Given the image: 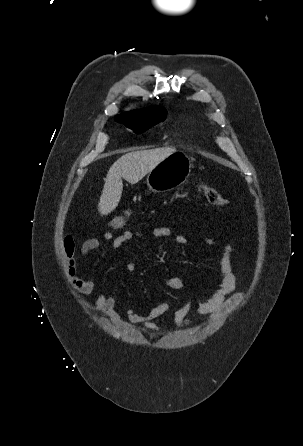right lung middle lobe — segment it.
<instances>
[{
  "instance_id": "right-lung-middle-lobe-1",
  "label": "right lung middle lobe",
  "mask_w": 303,
  "mask_h": 446,
  "mask_svg": "<svg viewBox=\"0 0 303 446\" xmlns=\"http://www.w3.org/2000/svg\"><path fill=\"white\" fill-rule=\"evenodd\" d=\"M166 110L158 109L152 113L139 116H116V121L132 129L135 133H142L151 126L158 124L166 118Z\"/></svg>"
}]
</instances>
